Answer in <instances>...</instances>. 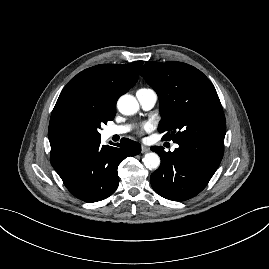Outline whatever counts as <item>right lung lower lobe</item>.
I'll return each mask as SVG.
<instances>
[{
	"label": "right lung lower lobe",
	"instance_id": "obj_1",
	"mask_svg": "<svg viewBox=\"0 0 269 269\" xmlns=\"http://www.w3.org/2000/svg\"><path fill=\"white\" fill-rule=\"evenodd\" d=\"M112 145L97 138L51 153L53 168L76 198L88 203L108 198L118 187L119 163L141 152L140 144L127 138Z\"/></svg>",
	"mask_w": 269,
	"mask_h": 269
}]
</instances>
